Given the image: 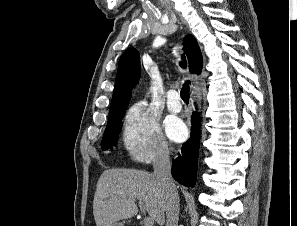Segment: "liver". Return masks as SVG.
<instances>
[{
  "label": "liver",
  "instance_id": "1",
  "mask_svg": "<svg viewBox=\"0 0 297 226\" xmlns=\"http://www.w3.org/2000/svg\"><path fill=\"white\" fill-rule=\"evenodd\" d=\"M136 199L145 203L147 212L159 225H164V190L153 174L134 169L104 171L93 200L96 226H113L119 220L135 216Z\"/></svg>",
  "mask_w": 297,
  "mask_h": 226
}]
</instances>
